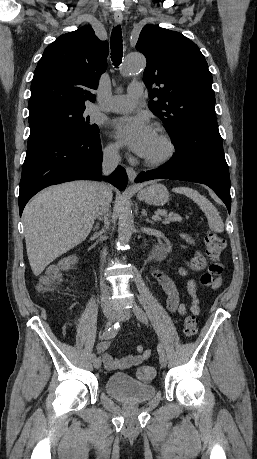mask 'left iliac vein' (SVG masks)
I'll return each instance as SVG.
<instances>
[{"label": "left iliac vein", "instance_id": "left-iliac-vein-1", "mask_svg": "<svg viewBox=\"0 0 257 459\" xmlns=\"http://www.w3.org/2000/svg\"><path fill=\"white\" fill-rule=\"evenodd\" d=\"M131 314V310L128 309H121L115 311L116 320L118 321H128L131 317ZM159 362L162 367H166L167 357L165 356V354H160Z\"/></svg>", "mask_w": 257, "mask_h": 459}]
</instances>
